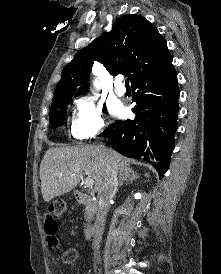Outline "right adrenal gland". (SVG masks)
I'll return each instance as SVG.
<instances>
[{
	"instance_id": "2a0ac1e0",
	"label": "right adrenal gland",
	"mask_w": 221,
	"mask_h": 274,
	"mask_svg": "<svg viewBox=\"0 0 221 274\" xmlns=\"http://www.w3.org/2000/svg\"><path fill=\"white\" fill-rule=\"evenodd\" d=\"M138 177V174L135 173L131 168H128L125 171H121L119 176V186H122L124 181L133 182V180H136Z\"/></svg>"
}]
</instances>
